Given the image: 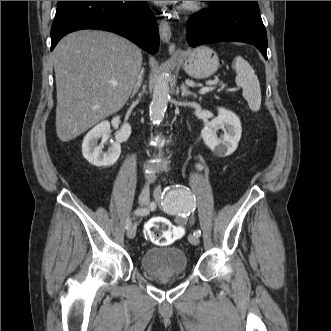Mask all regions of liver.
Masks as SVG:
<instances>
[{
  "label": "liver",
  "instance_id": "obj_1",
  "mask_svg": "<svg viewBox=\"0 0 331 331\" xmlns=\"http://www.w3.org/2000/svg\"><path fill=\"white\" fill-rule=\"evenodd\" d=\"M52 58L56 133L63 142L118 112L129 99L142 65V53L135 44L98 30L68 34L57 44Z\"/></svg>",
  "mask_w": 331,
  "mask_h": 331
}]
</instances>
